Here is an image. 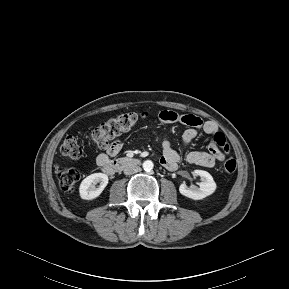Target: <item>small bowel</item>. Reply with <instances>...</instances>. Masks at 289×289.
Segmentation results:
<instances>
[{"instance_id": "obj_1", "label": "small bowel", "mask_w": 289, "mask_h": 289, "mask_svg": "<svg viewBox=\"0 0 289 289\" xmlns=\"http://www.w3.org/2000/svg\"><path fill=\"white\" fill-rule=\"evenodd\" d=\"M159 122L164 126L184 125L186 130L182 134V145L187 148L198 135L200 130L209 134L211 138L217 133L218 127L213 121L203 122L200 118L191 114H178L174 111L164 110L159 113ZM122 149L120 140L110 143L105 152H101L96 157V162L100 167L111 161V158L117 156ZM224 153L217 147L209 146V151L197 150L188 152L184 157L181 156L171 146L167 135L162 140V156L160 157L161 165L169 171H176L179 165L184 161L189 164L198 165L205 168H212L216 160H223Z\"/></svg>"}]
</instances>
